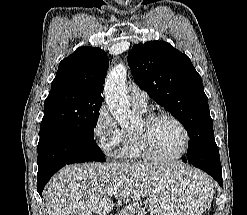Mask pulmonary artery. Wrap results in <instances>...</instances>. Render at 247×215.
<instances>
[{"instance_id": "e3ab8cb5", "label": "pulmonary artery", "mask_w": 247, "mask_h": 215, "mask_svg": "<svg viewBox=\"0 0 247 215\" xmlns=\"http://www.w3.org/2000/svg\"><path fill=\"white\" fill-rule=\"evenodd\" d=\"M129 97L132 105L140 110H144L147 106V93L135 84L129 85Z\"/></svg>"}]
</instances>
